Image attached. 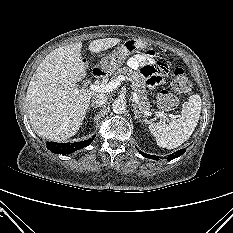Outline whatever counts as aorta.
Wrapping results in <instances>:
<instances>
[{
  "label": "aorta",
  "mask_w": 233,
  "mask_h": 233,
  "mask_svg": "<svg viewBox=\"0 0 233 233\" xmlns=\"http://www.w3.org/2000/svg\"><path fill=\"white\" fill-rule=\"evenodd\" d=\"M127 108L126 100L118 98L112 103V109L115 113H124Z\"/></svg>",
  "instance_id": "1"
}]
</instances>
